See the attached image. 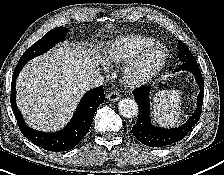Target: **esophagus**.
<instances>
[{"label":"esophagus","mask_w":224,"mask_h":175,"mask_svg":"<svg viewBox=\"0 0 224 175\" xmlns=\"http://www.w3.org/2000/svg\"><path fill=\"white\" fill-rule=\"evenodd\" d=\"M109 101L115 102L120 99V94L117 91H112L107 95Z\"/></svg>","instance_id":"esophagus-1"}]
</instances>
